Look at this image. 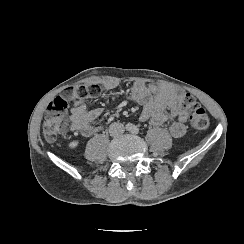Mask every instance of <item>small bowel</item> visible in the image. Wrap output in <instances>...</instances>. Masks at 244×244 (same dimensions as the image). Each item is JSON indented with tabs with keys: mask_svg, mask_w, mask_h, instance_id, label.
<instances>
[{
	"mask_svg": "<svg viewBox=\"0 0 244 244\" xmlns=\"http://www.w3.org/2000/svg\"><path fill=\"white\" fill-rule=\"evenodd\" d=\"M106 90H118L119 82L107 79L98 82ZM124 95L139 103L143 108L140 120L155 127L168 124V131L175 139L182 138L186 133L189 112L182 105L184 94L178 89L164 85H150L136 82L124 92ZM71 109L72 129L83 136H91L98 131L92 125L102 113L101 108L87 109L83 100L72 98ZM113 114L112 117H115Z\"/></svg>",
	"mask_w": 244,
	"mask_h": 244,
	"instance_id": "small-bowel-1",
	"label": "small bowel"
}]
</instances>
